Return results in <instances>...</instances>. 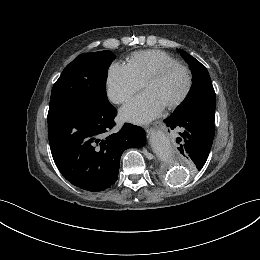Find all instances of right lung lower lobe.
I'll return each instance as SVG.
<instances>
[{
  "label": "right lung lower lobe",
  "mask_w": 260,
  "mask_h": 260,
  "mask_svg": "<svg viewBox=\"0 0 260 260\" xmlns=\"http://www.w3.org/2000/svg\"><path fill=\"white\" fill-rule=\"evenodd\" d=\"M117 110L111 104L93 112H65L48 116V137L54 162L73 185L91 192L117 181L120 156L127 148L145 144L143 128L125 124L113 134Z\"/></svg>",
  "instance_id": "98d812e1"
}]
</instances>
